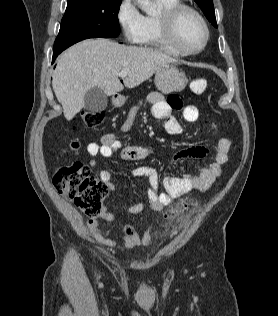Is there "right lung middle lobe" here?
Segmentation results:
<instances>
[{
    "mask_svg": "<svg viewBox=\"0 0 278 316\" xmlns=\"http://www.w3.org/2000/svg\"><path fill=\"white\" fill-rule=\"evenodd\" d=\"M67 1L53 52L63 51L87 38H111L120 34L118 12L122 0Z\"/></svg>",
    "mask_w": 278,
    "mask_h": 316,
    "instance_id": "1",
    "label": "right lung middle lobe"
}]
</instances>
